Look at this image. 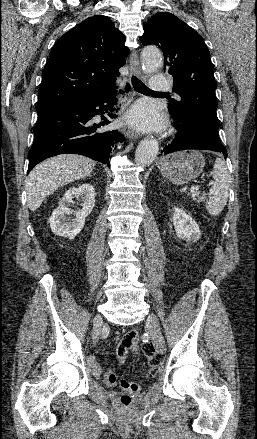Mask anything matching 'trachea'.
Wrapping results in <instances>:
<instances>
[{
  "label": "trachea",
  "mask_w": 257,
  "mask_h": 439,
  "mask_svg": "<svg viewBox=\"0 0 257 439\" xmlns=\"http://www.w3.org/2000/svg\"><path fill=\"white\" fill-rule=\"evenodd\" d=\"M132 84H133V87L139 92L155 93L154 91H151L142 81H140L135 76L132 77Z\"/></svg>",
  "instance_id": "obj_1"
}]
</instances>
